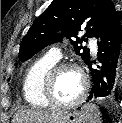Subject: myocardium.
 I'll list each match as a JSON object with an SVG mask.
<instances>
[{
	"instance_id": "myocardium-1",
	"label": "myocardium",
	"mask_w": 122,
	"mask_h": 123,
	"mask_svg": "<svg viewBox=\"0 0 122 123\" xmlns=\"http://www.w3.org/2000/svg\"><path fill=\"white\" fill-rule=\"evenodd\" d=\"M65 69H73L80 74L82 79V88L80 90V93L73 100L68 102H61L55 98L53 88L58 73ZM88 88L89 79L81 67L74 63H58L51 67L45 76L43 84V95L50 105L62 108H69L76 106L85 98Z\"/></svg>"
}]
</instances>
